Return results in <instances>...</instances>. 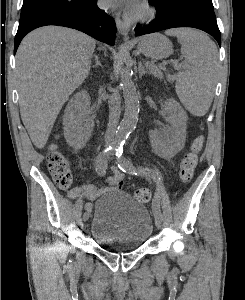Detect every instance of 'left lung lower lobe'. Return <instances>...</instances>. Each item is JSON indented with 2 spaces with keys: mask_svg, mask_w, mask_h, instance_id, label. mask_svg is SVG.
Returning a JSON list of instances; mask_svg holds the SVG:
<instances>
[{
  "mask_svg": "<svg viewBox=\"0 0 245 300\" xmlns=\"http://www.w3.org/2000/svg\"><path fill=\"white\" fill-rule=\"evenodd\" d=\"M149 3L155 6L157 16L146 26H136V36L176 27H192L209 33L221 45L213 8L186 1L149 0Z\"/></svg>",
  "mask_w": 245,
  "mask_h": 300,
  "instance_id": "1",
  "label": "left lung lower lobe"
}]
</instances>
